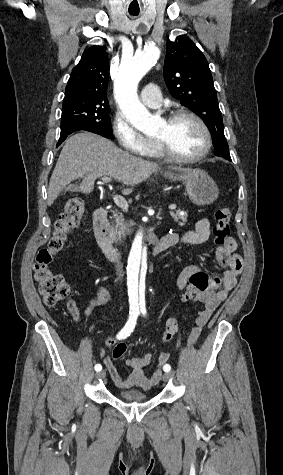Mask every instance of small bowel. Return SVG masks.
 I'll use <instances>...</instances> for the list:
<instances>
[{"label": "small bowel", "instance_id": "c3829d8e", "mask_svg": "<svg viewBox=\"0 0 283 475\" xmlns=\"http://www.w3.org/2000/svg\"><path fill=\"white\" fill-rule=\"evenodd\" d=\"M210 237V225L206 218L199 219L194 228L185 231L182 234L173 233L169 235L170 242L168 247L176 244L186 245H200L205 243ZM237 243L234 238L229 240L216 248L215 256L224 273L222 277L210 275L211 287L206 291L205 296H195V300L200 302L203 307L198 310L189 334V345H194L199 338L202 329L207 324L208 320L218 308V306L228 297L230 292L235 288L238 278L243 270V260L240 255L236 253ZM192 267H186L177 278V287L184 290V280L187 274H192ZM185 296V294H184ZM183 296V298H184ZM109 298L108 291L101 288L98 292L97 298L89 305L86 311V316L89 317L94 309L106 302ZM166 333V332H165ZM110 353L101 356L104 358L105 365L109 376L114 384L119 388H129L132 386H139L142 388H150L156 385L162 376V371L168 362H158L155 371L150 375H146L144 368L148 366L154 359L153 354H145L139 357L128 358L125 363L131 368V373L124 376L114 365V361L121 358L126 352V346L123 343H115L112 337L108 341ZM164 353V352H162Z\"/></svg>", "mask_w": 283, "mask_h": 475}]
</instances>
